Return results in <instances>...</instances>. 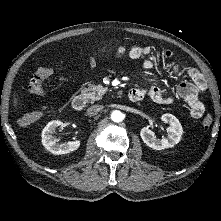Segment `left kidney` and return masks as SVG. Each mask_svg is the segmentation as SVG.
<instances>
[{"label":"left kidney","instance_id":"1","mask_svg":"<svg viewBox=\"0 0 221 221\" xmlns=\"http://www.w3.org/2000/svg\"><path fill=\"white\" fill-rule=\"evenodd\" d=\"M161 120L170 124V127L167 128V138L161 140L157 139L153 131H151L148 127L142 128L140 132L143 142L155 150L173 147L175 144L179 143L183 134V128L179 120L174 115L168 113L163 114Z\"/></svg>","mask_w":221,"mask_h":221}]
</instances>
